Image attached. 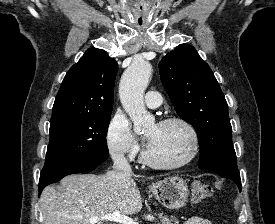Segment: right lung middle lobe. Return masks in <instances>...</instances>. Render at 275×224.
Here are the masks:
<instances>
[{"label": "right lung middle lobe", "instance_id": "right-lung-middle-lobe-1", "mask_svg": "<svg viewBox=\"0 0 275 224\" xmlns=\"http://www.w3.org/2000/svg\"><path fill=\"white\" fill-rule=\"evenodd\" d=\"M110 116L111 113L52 117L44 168L108 153L106 134Z\"/></svg>", "mask_w": 275, "mask_h": 224}]
</instances>
